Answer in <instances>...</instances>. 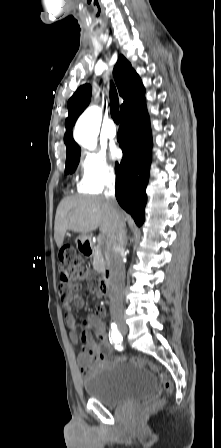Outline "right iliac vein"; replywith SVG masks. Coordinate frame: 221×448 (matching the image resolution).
Masks as SVG:
<instances>
[{
  "mask_svg": "<svg viewBox=\"0 0 221 448\" xmlns=\"http://www.w3.org/2000/svg\"><path fill=\"white\" fill-rule=\"evenodd\" d=\"M116 323H117L118 329L123 334H126L128 332V328L126 327V325H124L119 319H116Z\"/></svg>",
  "mask_w": 221,
  "mask_h": 448,
  "instance_id": "obj_1",
  "label": "right iliac vein"
}]
</instances>
